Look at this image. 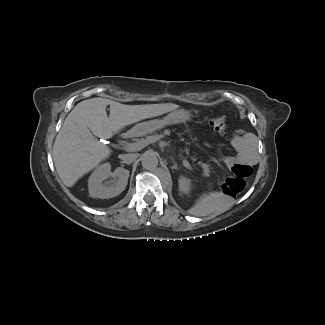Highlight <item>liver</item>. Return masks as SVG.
Masks as SVG:
<instances>
[{"mask_svg": "<svg viewBox=\"0 0 325 325\" xmlns=\"http://www.w3.org/2000/svg\"><path fill=\"white\" fill-rule=\"evenodd\" d=\"M107 105H110L109 117ZM178 108L179 105L173 103L125 105L100 97L81 101L66 117L54 142L53 161L60 179L72 187L109 157L111 149L95 136L109 139L127 125Z\"/></svg>", "mask_w": 325, "mask_h": 325, "instance_id": "liver-1", "label": "liver"}]
</instances>
